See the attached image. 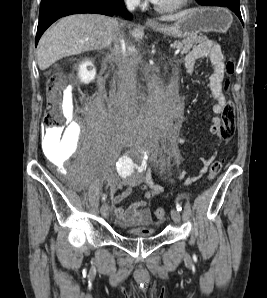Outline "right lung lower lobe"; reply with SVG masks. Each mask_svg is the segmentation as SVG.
I'll return each instance as SVG.
<instances>
[{"instance_id":"right-lung-lower-lobe-1","label":"right lung lower lobe","mask_w":267,"mask_h":298,"mask_svg":"<svg viewBox=\"0 0 267 298\" xmlns=\"http://www.w3.org/2000/svg\"><path fill=\"white\" fill-rule=\"evenodd\" d=\"M77 13H98L103 15H131L122 0H41L36 45L43 32L57 19Z\"/></svg>"}]
</instances>
